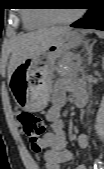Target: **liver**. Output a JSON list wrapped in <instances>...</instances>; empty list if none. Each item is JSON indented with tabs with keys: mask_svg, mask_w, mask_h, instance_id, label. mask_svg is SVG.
Masks as SVG:
<instances>
[{
	"mask_svg": "<svg viewBox=\"0 0 104 169\" xmlns=\"http://www.w3.org/2000/svg\"><path fill=\"white\" fill-rule=\"evenodd\" d=\"M70 30L71 28L67 26H54L18 36L12 46L8 66V82L14 70L27 58L39 53L47 43Z\"/></svg>",
	"mask_w": 104,
	"mask_h": 169,
	"instance_id": "1",
	"label": "liver"
}]
</instances>
